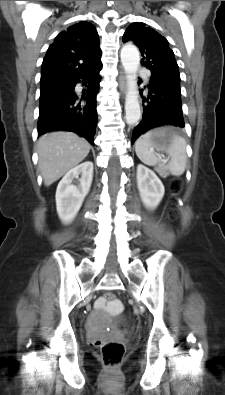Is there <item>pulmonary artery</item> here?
<instances>
[{"mask_svg":"<svg viewBox=\"0 0 225 395\" xmlns=\"http://www.w3.org/2000/svg\"><path fill=\"white\" fill-rule=\"evenodd\" d=\"M143 77H144L145 81L149 80V74L147 72H143Z\"/></svg>","mask_w":225,"mask_h":395,"instance_id":"e3ab8cb5","label":"pulmonary artery"}]
</instances>
